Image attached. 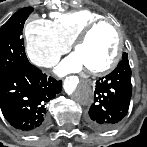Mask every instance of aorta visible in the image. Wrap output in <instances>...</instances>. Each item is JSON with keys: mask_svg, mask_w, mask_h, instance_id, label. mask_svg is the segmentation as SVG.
I'll return each mask as SVG.
<instances>
[{"mask_svg": "<svg viewBox=\"0 0 147 147\" xmlns=\"http://www.w3.org/2000/svg\"><path fill=\"white\" fill-rule=\"evenodd\" d=\"M73 98L82 105H89L93 102V90L85 82H80L71 92Z\"/></svg>", "mask_w": 147, "mask_h": 147, "instance_id": "1", "label": "aorta"}]
</instances>
